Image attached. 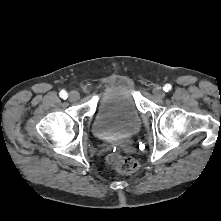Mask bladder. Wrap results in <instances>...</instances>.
Instances as JSON below:
<instances>
[{
	"mask_svg": "<svg viewBox=\"0 0 221 221\" xmlns=\"http://www.w3.org/2000/svg\"><path fill=\"white\" fill-rule=\"evenodd\" d=\"M141 128L140 113L130 90L121 85L109 87L98 101L92 130L102 140L130 138Z\"/></svg>",
	"mask_w": 221,
	"mask_h": 221,
	"instance_id": "obj_1",
	"label": "bladder"
}]
</instances>
